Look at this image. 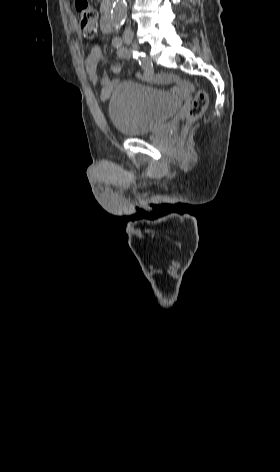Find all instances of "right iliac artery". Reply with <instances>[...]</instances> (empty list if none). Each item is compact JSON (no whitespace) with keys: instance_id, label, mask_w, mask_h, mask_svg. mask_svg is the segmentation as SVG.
Listing matches in <instances>:
<instances>
[{"instance_id":"82829eb1","label":"right iliac artery","mask_w":280,"mask_h":472,"mask_svg":"<svg viewBox=\"0 0 280 472\" xmlns=\"http://www.w3.org/2000/svg\"><path fill=\"white\" fill-rule=\"evenodd\" d=\"M117 55L120 58H127V59H129L130 57H133V59H135L144 70L143 78L145 80L153 79V72H154L153 64L151 60L144 53L123 47V48L118 49Z\"/></svg>"}]
</instances>
